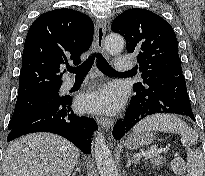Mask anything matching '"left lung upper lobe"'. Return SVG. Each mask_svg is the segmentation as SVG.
Masks as SVG:
<instances>
[{
	"label": "left lung upper lobe",
	"instance_id": "obj_1",
	"mask_svg": "<svg viewBox=\"0 0 205 176\" xmlns=\"http://www.w3.org/2000/svg\"><path fill=\"white\" fill-rule=\"evenodd\" d=\"M112 31L127 42V51L137 56L141 89L166 75H183L178 55V42L172 27L157 14L145 9H129L117 16Z\"/></svg>",
	"mask_w": 205,
	"mask_h": 176
}]
</instances>
